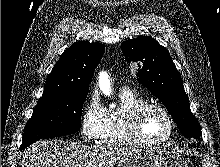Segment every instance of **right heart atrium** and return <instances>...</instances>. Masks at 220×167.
<instances>
[{
	"mask_svg": "<svg viewBox=\"0 0 220 167\" xmlns=\"http://www.w3.org/2000/svg\"><path fill=\"white\" fill-rule=\"evenodd\" d=\"M106 117V110L99 95L92 92L84 103L81 113V133L83 140L96 141L100 138Z\"/></svg>",
	"mask_w": 220,
	"mask_h": 167,
	"instance_id": "right-heart-atrium-1",
	"label": "right heart atrium"
}]
</instances>
